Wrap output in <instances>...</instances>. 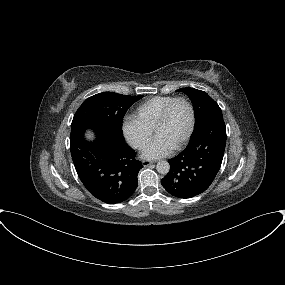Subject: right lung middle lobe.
Segmentation results:
<instances>
[{"mask_svg": "<svg viewBox=\"0 0 285 285\" xmlns=\"http://www.w3.org/2000/svg\"><path fill=\"white\" fill-rule=\"evenodd\" d=\"M142 96L102 92L87 98L76 111L71 128L86 127L104 131L124 140L122 121L128 108Z\"/></svg>", "mask_w": 285, "mask_h": 285, "instance_id": "right-lung-middle-lobe-1", "label": "right lung middle lobe"}]
</instances>
